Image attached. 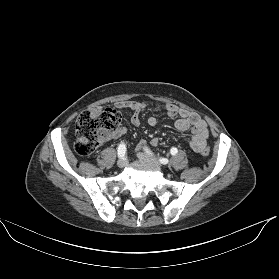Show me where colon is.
Masks as SVG:
<instances>
[{
    "mask_svg": "<svg viewBox=\"0 0 279 279\" xmlns=\"http://www.w3.org/2000/svg\"><path fill=\"white\" fill-rule=\"evenodd\" d=\"M120 125L119 113L111 108L91 109L81 112L76 119L75 150L81 156L91 155L98 146ZM200 153L207 156L209 148H203Z\"/></svg>",
    "mask_w": 279,
    "mask_h": 279,
    "instance_id": "5ec220e1",
    "label": "colon"
}]
</instances>
